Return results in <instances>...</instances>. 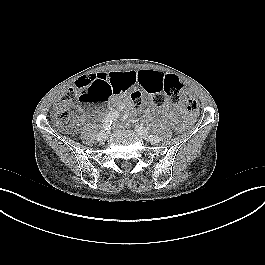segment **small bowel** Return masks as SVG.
I'll use <instances>...</instances> for the list:
<instances>
[{
	"mask_svg": "<svg viewBox=\"0 0 265 265\" xmlns=\"http://www.w3.org/2000/svg\"><path fill=\"white\" fill-rule=\"evenodd\" d=\"M165 74L158 70H140V71H126V72H109L98 73L94 77H105L106 83L112 89L114 95L111 104L123 109H132V103L123 101L119 97L127 90L139 86L145 91L157 88L164 80ZM178 109L177 105L166 103L158 112H162L168 116H173ZM148 110H153L151 105ZM85 119V114L78 117V122L81 123Z\"/></svg>",
	"mask_w": 265,
	"mask_h": 265,
	"instance_id": "c3829d8e",
	"label": "small bowel"
}]
</instances>
